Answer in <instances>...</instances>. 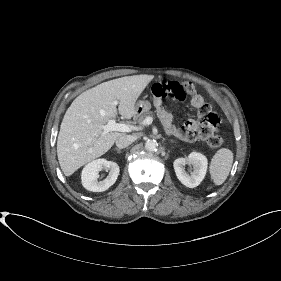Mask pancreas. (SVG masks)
I'll use <instances>...</instances> for the list:
<instances>
[{
    "instance_id": "cf45deb5",
    "label": "pancreas",
    "mask_w": 281,
    "mask_h": 281,
    "mask_svg": "<svg viewBox=\"0 0 281 281\" xmlns=\"http://www.w3.org/2000/svg\"><path fill=\"white\" fill-rule=\"evenodd\" d=\"M150 115H152V112L148 111L146 113L141 114L139 117L136 118V120L139 124H142L143 120Z\"/></svg>"
}]
</instances>
